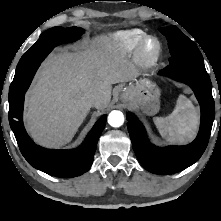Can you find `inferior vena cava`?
<instances>
[{
	"label": "inferior vena cava",
	"instance_id": "602c4592",
	"mask_svg": "<svg viewBox=\"0 0 221 221\" xmlns=\"http://www.w3.org/2000/svg\"><path fill=\"white\" fill-rule=\"evenodd\" d=\"M100 102V96L96 93H92L87 98V103L90 107L98 105Z\"/></svg>",
	"mask_w": 221,
	"mask_h": 221
}]
</instances>
